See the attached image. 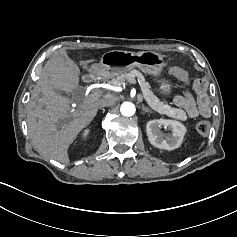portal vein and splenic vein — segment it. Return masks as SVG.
Listing matches in <instances>:
<instances>
[{
	"label": "portal vein and splenic vein",
	"instance_id": "18ae733b",
	"mask_svg": "<svg viewBox=\"0 0 237 237\" xmlns=\"http://www.w3.org/2000/svg\"><path fill=\"white\" fill-rule=\"evenodd\" d=\"M126 83H132L133 85H136L135 79L129 78V80H126Z\"/></svg>",
	"mask_w": 237,
	"mask_h": 237
}]
</instances>
